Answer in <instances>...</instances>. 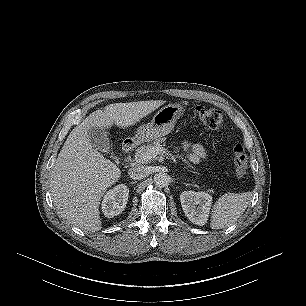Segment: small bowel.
Listing matches in <instances>:
<instances>
[{
  "instance_id": "obj_1",
  "label": "small bowel",
  "mask_w": 306,
  "mask_h": 306,
  "mask_svg": "<svg viewBox=\"0 0 306 306\" xmlns=\"http://www.w3.org/2000/svg\"><path fill=\"white\" fill-rule=\"evenodd\" d=\"M183 148L189 151V158L193 162H198L206 157V151L200 144L183 143Z\"/></svg>"
}]
</instances>
